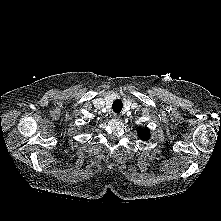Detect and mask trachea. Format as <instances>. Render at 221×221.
<instances>
[{
  "mask_svg": "<svg viewBox=\"0 0 221 221\" xmlns=\"http://www.w3.org/2000/svg\"><path fill=\"white\" fill-rule=\"evenodd\" d=\"M123 107V103L120 99H116L112 104V109L116 113H120Z\"/></svg>",
  "mask_w": 221,
  "mask_h": 221,
  "instance_id": "1",
  "label": "trachea"
}]
</instances>
